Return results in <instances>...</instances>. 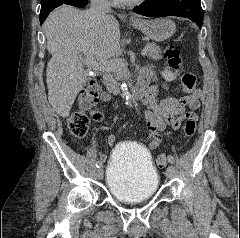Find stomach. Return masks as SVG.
<instances>
[{"instance_id": "1", "label": "stomach", "mask_w": 240, "mask_h": 238, "mask_svg": "<svg viewBox=\"0 0 240 238\" xmlns=\"http://www.w3.org/2000/svg\"><path fill=\"white\" fill-rule=\"evenodd\" d=\"M133 25L154 41H164L171 37L176 31L174 21L168 18L140 20Z\"/></svg>"}]
</instances>
